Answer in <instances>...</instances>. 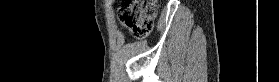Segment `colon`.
<instances>
[{"label": "colon", "instance_id": "5ec220e1", "mask_svg": "<svg viewBox=\"0 0 279 82\" xmlns=\"http://www.w3.org/2000/svg\"><path fill=\"white\" fill-rule=\"evenodd\" d=\"M158 4V0H124L118 10V20L135 38H143L153 27Z\"/></svg>", "mask_w": 279, "mask_h": 82}]
</instances>
